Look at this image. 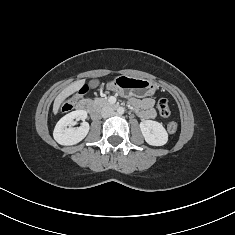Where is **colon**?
I'll list each match as a JSON object with an SVG mask.
<instances>
[{
    "label": "colon",
    "mask_w": 235,
    "mask_h": 235,
    "mask_svg": "<svg viewBox=\"0 0 235 235\" xmlns=\"http://www.w3.org/2000/svg\"><path fill=\"white\" fill-rule=\"evenodd\" d=\"M87 91H88V88L86 86H83L80 89L79 94L76 98L82 97L83 95L87 93ZM74 102H75V99L66 101L62 106V111L64 112L70 111L73 108ZM157 109H158L159 114L162 117L166 118V117H169L171 114L169 103L165 98H161L158 100ZM177 128H178L177 124L175 122H171L167 126V131L170 134H174L177 131Z\"/></svg>",
    "instance_id": "colon-1"
}]
</instances>
